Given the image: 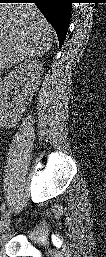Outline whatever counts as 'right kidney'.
<instances>
[{"label":"right kidney","instance_id":"obj_1","mask_svg":"<svg viewBox=\"0 0 106 257\" xmlns=\"http://www.w3.org/2000/svg\"><path fill=\"white\" fill-rule=\"evenodd\" d=\"M42 72V64L37 59H27L1 80L0 109L5 117L9 116L18 120L22 116L28 101L40 84ZM18 85L22 87L21 90L9 102V93Z\"/></svg>","mask_w":106,"mask_h":257}]
</instances>
